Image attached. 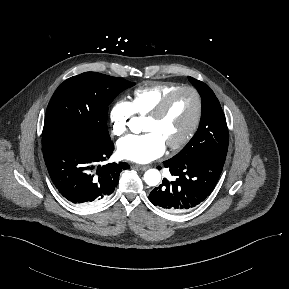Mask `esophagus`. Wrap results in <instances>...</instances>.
Segmentation results:
<instances>
[{"label":"esophagus","mask_w":289,"mask_h":289,"mask_svg":"<svg viewBox=\"0 0 289 289\" xmlns=\"http://www.w3.org/2000/svg\"><path fill=\"white\" fill-rule=\"evenodd\" d=\"M136 168H138L139 170H147L149 167L147 165H139V164H135L134 165Z\"/></svg>","instance_id":"obj_1"}]
</instances>
